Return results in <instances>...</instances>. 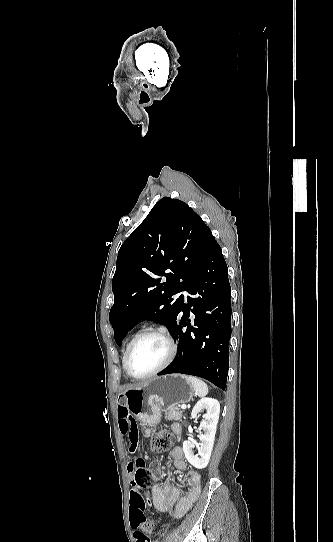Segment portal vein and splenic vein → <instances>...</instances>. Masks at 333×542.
I'll use <instances>...</instances> for the list:
<instances>
[{"label":"portal vein and splenic vein","instance_id":"portal-vein-and-splenic-vein-1","mask_svg":"<svg viewBox=\"0 0 333 542\" xmlns=\"http://www.w3.org/2000/svg\"><path fill=\"white\" fill-rule=\"evenodd\" d=\"M182 410H186V406L185 404H183V406H181Z\"/></svg>","mask_w":333,"mask_h":542}]
</instances>
